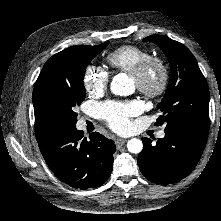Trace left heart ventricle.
I'll list each match as a JSON object with an SVG mask.
<instances>
[{"label":"left heart ventricle","mask_w":221,"mask_h":221,"mask_svg":"<svg viewBox=\"0 0 221 221\" xmlns=\"http://www.w3.org/2000/svg\"><path fill=\"white\" fill-rule=\"evenodd\" d=\"M157 77H158V75L157 74H155L153 77H152V81H155L156 79H157ZM133 82L135 83V81L133 80Z\"/></svg>","instance_id":"obj_1"}]
</instances>
